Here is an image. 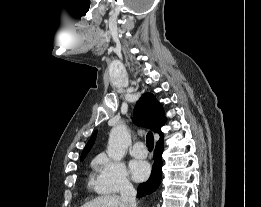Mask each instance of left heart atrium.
<instances>
[{
  "mask_svg": "<svg viewBox=\"0 0 261 207\" xmlns=\"http://www.w3.org/2000/svg\"><path fill=\"white\" fill-rule=\"evenodd\" d=\"M130 170L135 181H143L149 176L150 166L146 161L133 160L130 163Z\"/></svg>",
  "mask_w": 261,
  "mask_h": 207,
  "instance_id": "left-heart-atrium-1",
  "label": "left heart atrium"
}]
</instances>
